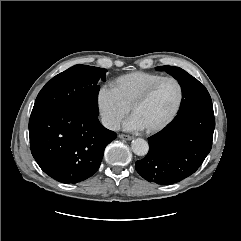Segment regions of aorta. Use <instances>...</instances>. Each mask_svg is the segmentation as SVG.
Returning a JSON list of instances; mask_svg holds the SVG:
<instances>
[{
    "mask_svg": "<svg viewBox=\"0 0 241 241\" xmlns=\"http://www.w3.org/2000/svg\"><path fill=\"white\" fill-rule=\"evenodd\" d=\"M131 149L134 154L138 156H145L148 153L149 145L148 142L142 138H137L132 141Z\"/></svg>",
    "mask_w": 241,
    "mask_h": 241,
    "instance_id": "aorta-1",
    "label": "aorta"
}]
</instances>
